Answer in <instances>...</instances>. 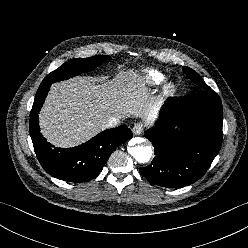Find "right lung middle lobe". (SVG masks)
<instances>
[{"label":"right lung middle lobe","mask_w":248,"mask_h":248,"mask_svg":"<svg viewBox=\"0 0 248 248\" xmlns=\"http://www.w3.org/2000/svg\"><path fill=\"white\" fill-rule=\"evenodd\" d=\"M110 56L97 55L89 58H76L61 67L51 72L41 84L54 83L61 80H66L71 77L77 76L83 72L91 70L103 63L110 61Z\"/></svg>","instance_id":"right-lung-middle-lobe-1"}]
</instances>
